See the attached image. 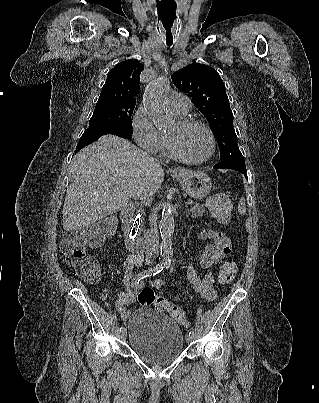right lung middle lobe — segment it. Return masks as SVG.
<instances>
[{"label":"right lung middle lobe","mask_w":319,"mask_h":403,"mask_svg":"<svg viewBox=\"0 0 319 403\" xmlns=\"http://www.w3.org/2000/svg\"><path fill=\"white\" fill-rule=\"evenodd\" d=\"M134 107V104L97 103L89 121V128L112 126L132 133L131 116Z\"/></svg>","instance_id":"dd1d6c3e"}]
</instances>
